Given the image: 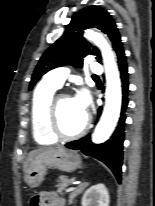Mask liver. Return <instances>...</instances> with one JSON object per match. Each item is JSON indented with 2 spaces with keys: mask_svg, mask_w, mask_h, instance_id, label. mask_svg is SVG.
<instances>
[{
  "mask_svg": "<svg viewBox=\"0 0 155 206\" xmlns=\"http://www.w3.org/2000/svg\"><path fill=\"white\" fill-rule=\"evenodd\" d=\"M55 148H51V147H42V148H39V149H36V150H33L31 151L29 154H28V157L24 163V172H26L27 170V167L30 163V161L32 160V158L37 154V153H40L42 151H49V150H54Z\"/></svg>",
  "mask_w": 155,
  "mask_h": 206,
  "instance_id": "obj_1",
  "label": "liver"
}]
</instances>
